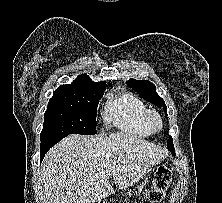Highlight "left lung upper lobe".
Wrapping results in <instances>:
<instances>
[{
  "instance_id": "1",
  "label": "left lung upper lobe",
  "mask_w": 222,
  "mask_h": 203,
  "mask_svg": "<svg viewBox=\"0 0 222 203\" xmlns=\"http://www.w3.org/2000/svg\"><path fill=\"white\" fill-rule=\"evenodd\" d=\"M127 84L129 87H132L134 91L139 93V95L145 100L155 104L160 108L163 107L164 110H167L164 100L156 93V87L153 83L147 80L129 79ZM167 148H174L173 140L171 137L167 141Z\"/></svg>"
}]
</instances>
